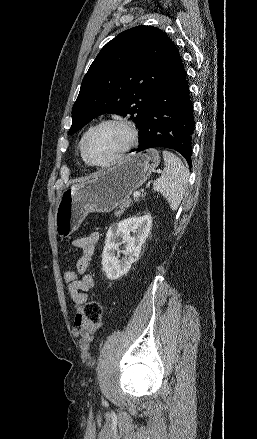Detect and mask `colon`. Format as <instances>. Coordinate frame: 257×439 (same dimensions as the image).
I'll return each mask as SVG.
<instances>
[{"label": "colon", "mask_w": 257, "mask_h": 439, "mask_svg": "<svg viewBox=\"0 0 257 439\" xmlns=\"http://www.w3.org/2000/svg\"><path fill=\"white\" fill-rule=\"evenodd\" d=\"M65 281L68 285H73L78 276L75 271H66L64 275ZM82 318L92 324L95 328H98L103 323L102 306L96 300H91L82 307L81 310Z\"/></svg>", "instance_id": "1"}]
</instances>
